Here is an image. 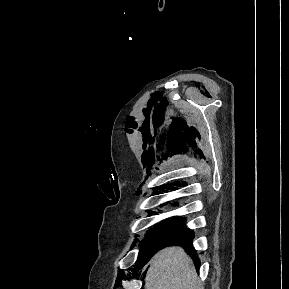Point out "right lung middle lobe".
I'll return each mask as SVG.
<instances>
[{"label":"right lung middle lobe","instance_id":"1","mask_svg":"<svg viewBox=\"0 0 289 289\" xmlns=\"http://www.w3.org/2000/svg\"><path fill=\"white\" fill-rule=\"evenodd\" d=\"M184 221H185L184 218L167 220L166 222H163L161 225H158L154 227L152 230L148 231L147 237L145 239L155 236H168V237L174 236L184 228Z\"/></svg>","mask_w":289,"mask_h":289}]
</instances>
